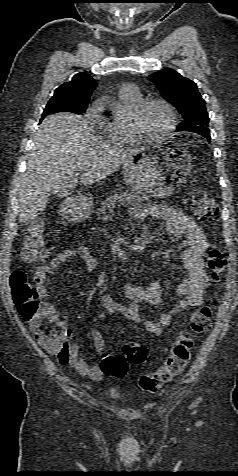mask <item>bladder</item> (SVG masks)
<instances>
[{
  "label": "bladder",
  "instance_id": "bladder-1",
  "mask_svg": "<svg viewBox=\"0 0 238 476\" xmlns=\"http://www.w3.org/2000/svg\"><path fill=\"white\" fill-rule=\"evenodd\" d=\"M118 395H119V394H118V392H117L116 390H113V391L111 392V396H112V397H118Z\"/></svg>",
  "mask_w": 238,
  "mask_h": 476
}]
</instances>
